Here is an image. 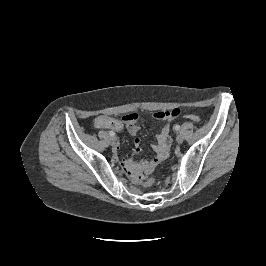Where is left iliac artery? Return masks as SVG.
<instances>
[{
	"label": "left iliac artery",
	"instance_id": "1",
	"mask_svg": "<svg viewBox=\"0 0 266 266\" xmlns=\"http://www.w3.org/2000/svg\"><path fill=\"white\" fill-rule=\"evenodd\" d=\"M174 129H175L176 131H179V130H180V126H179V125H175V126H174Z\"/></svg>",
	"mask_w": 266,
	"mask_h": 266
}]
</instances>
